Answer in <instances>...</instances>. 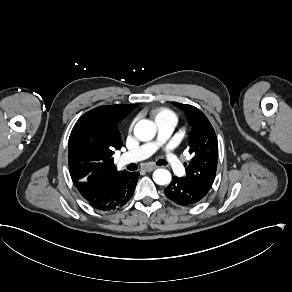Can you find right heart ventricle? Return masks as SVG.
I'll return each mask as SVG.
<instances>
[{"instance_id":"1","label":"right heart ventricle","mask_w":292,"mask_h":292,"mask_svg":"<svg viewBox=\"0 0 292 292\" xmlns=\"http://www.w3.org/2000/svg\"><path fill=\"white\" fill-rule=\"evenodd\" d=\"M154 113H155V115H156L157 118H158V116H159L160 114H162V113H167V114L170 115V113H169L167 110L163 109V108L156 109V110L154 111Z\"/></svg>"}]
</instances>
